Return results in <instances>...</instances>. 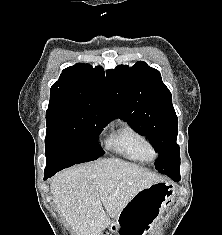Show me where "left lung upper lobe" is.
I'll return each mask as SVG.
<instances>
[{"instance_id": "obj_1", "label": "left lung upper lobe", "mask_w": 222, "mask_h": 235, "mask_svg": "<svg viewBox=\"0 0 222 235\" xmlns=\"http://www.w3.org/2000/svg\"><path fill=\"white\" fill-rule=\"evenodd\" d=\"M107 76L120 119L148 137L159 153L157 171L170 178L180 176L177 115L160 72L139 61L131 68L117 66Z\"/></svg>"}]
</instances>
